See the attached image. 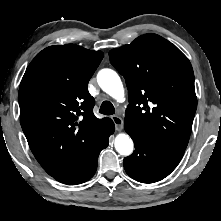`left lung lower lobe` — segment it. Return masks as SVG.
Instances as JSON below:
<instances>
[{"label":"left lung lower lobe","mask_w":221,"mask_h":221,"mask_svg":"<svg viewBox=\"0 0 221 221\" xmlns=\"http://www.w3.org/2000/svg\"><path fill=\"white\" fill-rule=\"evenodd\" d=\"M135 144V151L124 158L127 174L142 183H154L168 176L179 164L185 150L151 141L138 128L125 124Z\"/></svg>","instance_id":"1"}]
</instances>
